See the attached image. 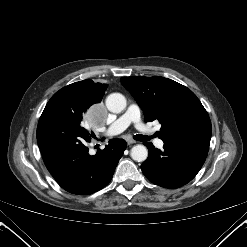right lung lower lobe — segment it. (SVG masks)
<instances>
[{"label": "right lung lower lobe", "mask_w": 247, "mask_h": 247, "mask_svg": "<svg viewBox=\"0 0 247 247\" xmlns=\"http://www.w3.org/2000/svg\"><path fill=\"white\" fill-rule=\"evenodd\" d=\"M91 135L80 123L54 113H42L37 141L44 163L66 191L87 195L106 186L126 149L123 139H111L96 155L88 154Z\"/></svg>", "instance_id": "obj_1"}]
</instances>
